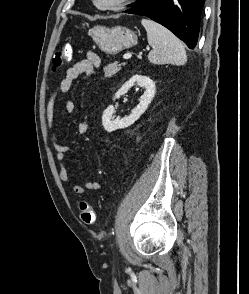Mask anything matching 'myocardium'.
Masks as SVG:
<instances>
[{
  "label": "myocardium",
  "instance_id": "f54148a6",
  "mask_svg": "<svg viewBox=\"0 0 249 294\" xmlns=\"http://www.w3.org/2000/svg\"><path fill=\"white\" fill-rule=\"evenodd\" d=\"M134 0H119L115 4L105 5L99 3L98 0H93L95 6L103 11H121L125 9L128 5H130Z\"/></svg>",
  "mask_w": 249,
  "mask_h": 294
}]
</instances>
